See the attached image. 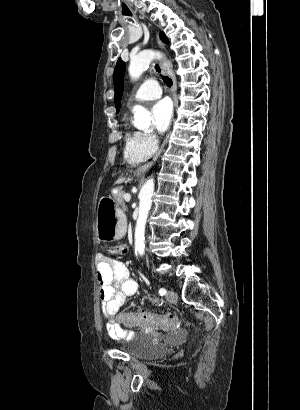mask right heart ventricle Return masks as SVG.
I'll return each instance as SVG.
<instances>
[{
    "label": "right heart ventricle",
    "instance_id": "obj_1",
    "mask_svg": "<svg viewBox=\"0 0 300 410\" xmlns=\"http://www.w3.org/2000/svg\"><path fill=\"white\" fill-rule=\"evenodd\" d=\"M149 156L140 147L139 133L127 130L124 134V160L134 164L144 161Z\"/></svg>",
    "mask_w": 300,
    "mask_h": 410
}]
</instances>
